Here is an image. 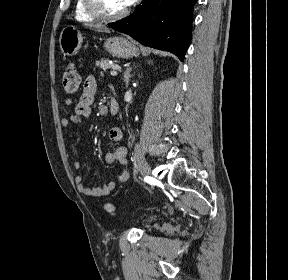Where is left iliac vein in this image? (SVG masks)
<instances>
[{"mask_svg":"<svg viewBox=\"0 0 288 280\" xmlns=\"http://www.w3.org/2000/svg\"><path fill=\"white\" fill-rule=\"evenodd\" d=\"M140 168H141V172L144 175H150V168H149L148 164L145 161H141L140 162Z\"/></svg>","mask_w":288,"mask_h":280,"instance_id":"left-iliac-vein-1","label":"left iliac vein"}]
</instances>
